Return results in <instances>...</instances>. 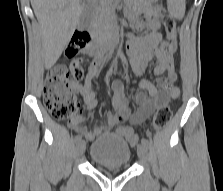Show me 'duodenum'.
Instances as JSON below:
<instances>
[{"mask_svg":"<svg viewBox=\"0 0 223 191\" xmlns=\"http://www.w3.org/2000/svg\"><path fill=\"white\" fill-rule=\"evenodd\" d=\"M118 44L119 40L118 37L115 35L102 37L98 43L97 55L99 56L108 55L114 50V48L118 46Z\"/></svg>","mask_w":223,"mask_h":191,"instance_id":"1","label":"duodenum"}]
</instances>
